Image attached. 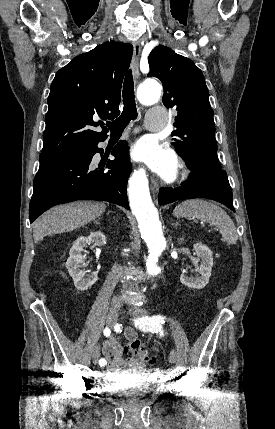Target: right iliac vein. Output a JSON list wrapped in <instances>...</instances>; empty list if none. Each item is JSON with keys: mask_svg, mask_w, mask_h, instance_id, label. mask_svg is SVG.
Segmentation results:
<instances>
[{"mask_svg": "<svg viewBox=\"0 0 275 429\" xmlns=\"http://www.w3.org/2000/svg\"><path fill=\"white\" fill-rule=\"evenodd\" d=\"M120 307H121L120 304H113L110 307L109 313L107 315V320H106L108 327H113L116 324L119 316ZM99 356H100V346L97 345L94 348L92 353V361L94 364L97 363Z\"/></svg>", "mask_w": 275, "mask_h": 429, "instance_id": "right-iliac-vein-1", "label": "right iliac vein"}]
</instances>
